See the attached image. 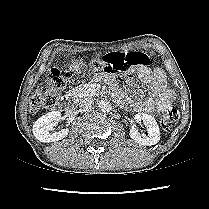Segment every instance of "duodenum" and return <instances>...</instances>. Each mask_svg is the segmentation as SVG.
Masks as SVG:
<instances>
[{
	"instance_id": "410a0bca",
	"label": "duodenum",
	"mask_w": 209,
	"mask_h": 209,
	"mask_svg": "<svg viewBox=\"0 0 209 209\" xmlns=\"http://www.w3.org/2000/svg\"><path fill=\"white\" fill-rule=\"evenodd\" d=\"M75 101H76V96H75L74 94L66 95V96L62 99V103H63L65 106L70 107V108H73V107H74Z\"/></svg>"
}]
</instances>
